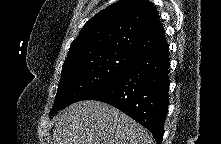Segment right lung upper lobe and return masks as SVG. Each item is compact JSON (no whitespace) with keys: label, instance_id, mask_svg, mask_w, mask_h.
<instances>
[{"label":"right lung upper lobe","instance_id":"obj_1","mask_svg":"<svg viewBox=\"0 0 221 144\" xmlns=\"http://www.w3.org/2000/svg\"><path fill=\"white\" fill-rule=\"evenodd\" d=\"M165 42L157 10L148 0H120L88 20L64 65L91 54L122 50L141 56Z\"/></svg>","mask_w":221,"mask_h":144}]
</instances>
